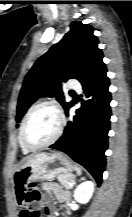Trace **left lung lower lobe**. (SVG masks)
Here are the masks:
<instances>
[{
	"instance_id": "left-lung-lower-lobe-1",
	"label": "left lung lower lobe",
	"mask_w": 132,
	"mask_h": 217,
	"mask_svg": "<svg viewBox=\"0 0 132 217\" xmlns=\"http://www.w3.org/2000/svg\"><path fill=\"white\" fill-rule=\"evenodd\" d=\"M107 69L102 63L82 84L86 100L70 119L62 137L50 148L68 154L84 166L98 184L105 170V151L110 130V101ZM73 105V104H72ZM68 115V110L66 111Z\"/></svg>"
}]
</instances>
